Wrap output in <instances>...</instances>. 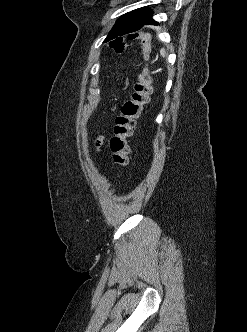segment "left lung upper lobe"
<instances>
[{"label": "left lung upper lobe", "instance_id": "1", "mask_svg": "<svg viewBox=\"0 0 247 332\" xmlns=\"http://www.w3.org/2000/svg\"><path fill=\"white\" fill-rule=\"evenodd\" d=\"M140 10V9H139ZM138 9L134 10L133 12H128L126 14H124L123 16H121L115 23V25L113 26L112 30L110 31V33L108 34V36L105 39L106 41H109L111 39H114L118 36V31L121 28V26L127 22L128 20H130L132 17H134V15L139 11Z\"/></svg>", "mask_w": 247, "mask_h": 332}]
</instances>
